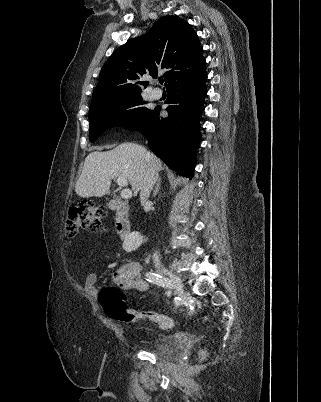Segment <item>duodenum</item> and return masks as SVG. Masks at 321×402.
Listing matches in <instances>:
<instances>
[{"label": "duodenum", "instance_id": "duodenum-1", "mask_svg": "<svg viewBox=\"0 0 321 402\" xmlns=\"http://www.w3.org/2000/svg\"><path fill=\"white\" fill-rule=\"evenodd\" d=\"M107 207L115 213V230L121 239L126 238L131 232V223L128 217L126 203L119 199H111Z\"/></svg>", "mask_w": 321, "mask_h": 402}]
</instances>
